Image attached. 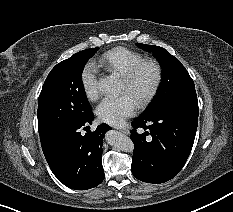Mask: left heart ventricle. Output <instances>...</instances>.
Here are the masks:
<instances>
[{
  "label": "left heart ventricle",
  "instance_id": "left-heart-ventricle-1",
  "mask_svg": "<svg viewBox=\"0 0 233 212\" xmlns=\"http://www.w3.org/2000/svg\"><path fill=\"white\" fill-rule=\"evenodd\" d=\"M154 79V70L146 66L139 74L135 83L131 86L121 83V93L129 94L137 103L148 92Z\"/></svg>",
  "mask_w": 233,
  "mask_h": 212
}]
</instances>
